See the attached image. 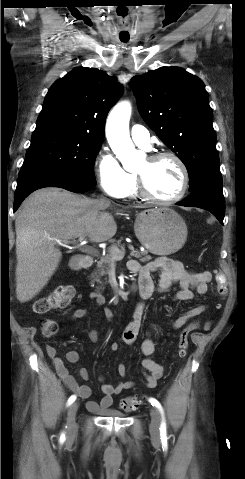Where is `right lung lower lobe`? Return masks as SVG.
Returning a JSON list of instances; mask_svg holds the SVG:
<instances>
[{"label": "right lung lower lobe", "mask_w": 245, "mask_h": 479, "mask_svg": "<svg viewBox=\"0 0 245 479\" xmlns=\"http://www.w3.org/2000/svg\"><path fill=\"white\" fill-rule=\"evenodd\" d=\"M44 187H60L75 193H82L90 191L94 185L65 174L53 172L26 176L18 179L14 197V211L18 209L29 194Z\"/></svg>", "instance_id": "obj_1"}]
</instances>
